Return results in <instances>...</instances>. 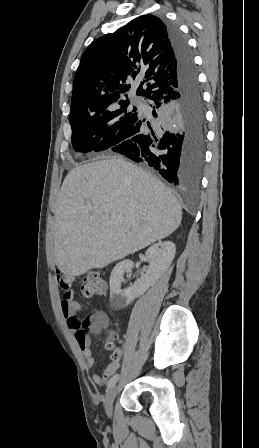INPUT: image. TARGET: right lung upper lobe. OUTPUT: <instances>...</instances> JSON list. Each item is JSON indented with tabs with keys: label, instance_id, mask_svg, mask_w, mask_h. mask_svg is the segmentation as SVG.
<instances>
[{
	"label": "right lung upper lobe",
	"instance_id": "obj_1",
	"mask_svg": "<svg viewBox=\"0 0 259 448\" xmlns=\"http://www.w3.org/2000/svg\"><path fill=\"white\" fill-rule=\"evenodd\" d=\"M175 56L164 22L142 15L94 40L74 77L71 113L130 104V81L143 78L136 94L154 98L177 85Z\"/></svg>",
	"mask_w": 259,
	"mask_h": 448
}]
</instances>
